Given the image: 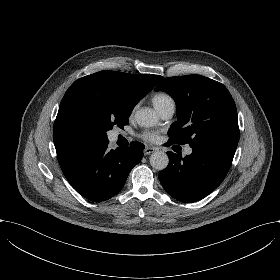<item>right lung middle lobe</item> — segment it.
<instances>
[{"mask_svg": "<svg viewBox=\"0 0 280 280\" xmlns=\"http://www.w3.org/2000/svg\"><path fill=\"white\" fill-rule=\"evenodd\" d=\"M130 113L108 111L97 117V123L102 133V140L108 142L106 131L111 130L114 125L123 129L129 123Z\"/></svg>", "mask_w": 280, "mask_h": 280, "instance_id": "1", "label": "right lung middle lobe"}]
</instances>
